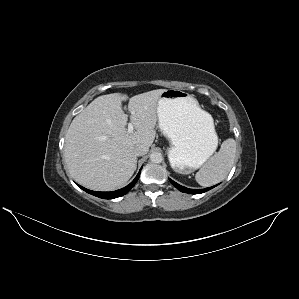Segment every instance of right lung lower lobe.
Here are the masks:
<instances>
[{
  "mask_svg": "<svg viewBox=\"0 0 299 299\" xmlns=\"http://www.w3.org/2000/svg\"><path fill=\"white\" fill-rule=\"evenodd\" d=\"M140 172L137 174V176L135 177V179L126 187L120 189V190H116V191H112V192H96V191H91L88 190L82 186H79L80 188H82L84 191H86L87 193H90L94 196H97L99 198H103V199H114L117 197H121L123 195H125L127 192H129V190L135 185V183L137 182V180L139 179L140 176Z\"/></svg>",
  "mask_w": 299,
  "mask_h": 299,
  "instance_id": "98d812e1",
  "label": "right lung lower lobe"
}]
</instances>
